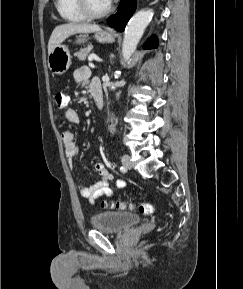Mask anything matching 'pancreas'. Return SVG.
<instances>
[{"mask_svg":"<svg viewBox=\"0 0 243 289\" xmlns=\"http://www.w3.org/2000/svg\"><path fill=\"white\" fill-rule=\"evenodd\" d=\"M93 46L89 45L86 48L81 49L80 51L76 52L74 56H76L79 60L84 61L89 56Z\"/></svg>","mask_w":243,"mask_h":289,"instance_id":"pancreas-1","label":"pancreas"}]
</instances>
